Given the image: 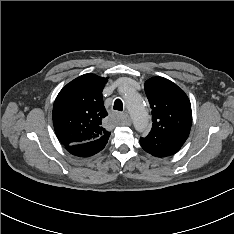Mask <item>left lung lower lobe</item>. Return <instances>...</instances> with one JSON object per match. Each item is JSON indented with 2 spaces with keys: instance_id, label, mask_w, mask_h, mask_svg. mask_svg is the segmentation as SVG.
<instances>
[{
  "instance_id": "left-lung-lower-lobe-1",
  "label": "left lung lower lobe",
  "mask_w": 234,
  "mask_h": 234,
  "mask_svg": "<svg viewBox=\"0 0 234 234\" xmlns=\"http://www.w3.org/2000/svg\"><path fill=\"white\" fill-rule=\"evenodd\" d=\"M140 144L142 148L156 157H166L175 154L181 145L172 140L155 138V137H141Z\"/></svg>"
}]
</instances>
